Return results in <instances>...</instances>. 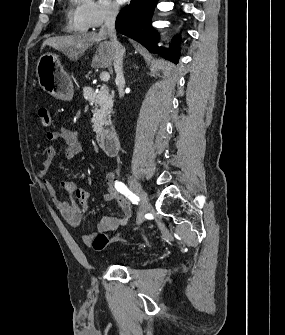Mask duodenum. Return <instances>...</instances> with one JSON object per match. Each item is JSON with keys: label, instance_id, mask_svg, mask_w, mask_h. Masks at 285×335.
<instances>
[{"label": "duodenum", "instance_id": "duodenum-1", "mask_svg": "<svg viewBox=\"0 0 285 335\" xmlns=\"http://www.w3.org/2000/svg\"><path fill=\"white\" fill-rule=\"evenodd\" d=\"M97 142L106 155H116L119 149V137L115 127L109 126L101 129L97 133Z\"/></svg>", "mask_w": 285, "mask_h": 335}]
</instances>
